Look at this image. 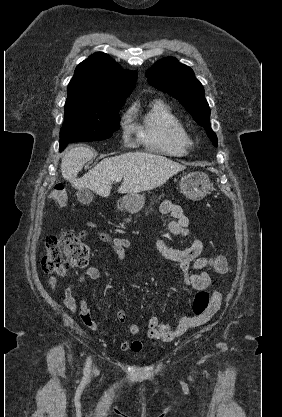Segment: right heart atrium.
<instances>
[{
    "mask_svg": "<svg viewBox=\"0 0 282 417\" xmlns=\"http://www.w3.org/2000/svg\"><path fill=\"white\" fill-rule=\"evenodd\" d=\"M123 130H124V139L129 142L132 134L135 131V127L128 121L123 123Z\"/></svg>",
    "mask_w": 282,
    "mask_h": 417,
    "instance_id": "right-heart-atrium-1",
    "label": "right heart atrium"
}]
</instances>
